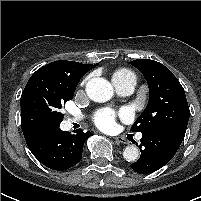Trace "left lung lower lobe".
Masks as SVG:
<instances>
[{
  "mask_svg": "<svg viewBox=\"0 0 201 201\" xmlns=\"http://www.w3.org/2000/svg\"><path fill=\"white\" fill-rule=\"evenodd\" d=\"M186 128L184 124L168 123L143 132L139 145L141 156L130 167L137 173L148 174L166 165L181 145Z\"/></svg>",
  "mask_w": 201,
  "mask_h": 201,
  "instance_id": "obj_1",
  "label": "left lung lower lobe"
}]
</instances>
